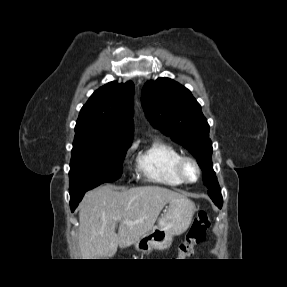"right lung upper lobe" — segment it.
I'll use <instances>...</instances> for the list:
<instances>
[{"label": "right lung upper lobe", "instance_id": "cb5924a9", "mask_svg": "<svg viewBox=\"0 0 287 287\" xmlns=\"http://www.w3.org/2000/svg\"><path fill=\"white\" fill-rule=\"evenodd\" d=\"M134 84L109 82L96 90L82 107L75 132L103 139L132 140Z\"/></svg>", "mask_w": 287, "mask_h": 287}]
</instances>
